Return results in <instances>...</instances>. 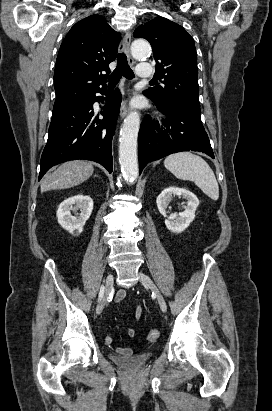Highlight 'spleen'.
I'll return each mask as SVG.
<instances>
[{
	"mask_svg": "<svg viewBox=\"0 0 272 411\" xmlns=\"http://www.w3.org/2000/svg\"><path fill=\"white\" fill-rule=\"evenodd\" d=\"M164 166L178 179L194 182L209 198H219V186L213 170L207 162L191 152H179L167 156Z\"/></svg>",
	"mask_w": 272,
	"mask_h": 411,
	"instance_id": "obj_1",
	"label": "spleen"
}]
</instances>
